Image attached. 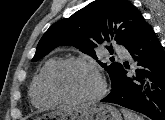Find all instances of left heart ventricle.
Segmentation results:
<instances>
[{"mask_svg":"<svg viewBox=\"0 0 165 120\" xmlns=\"http://www.w3.org/2000/svg\"><path fill=\"white\" fill-rule=\"evenodd\" d=\"M54 86L61 95L78 99L96 94L100 88V82L89 68L70 65L59 71L55 77Z\"/></svg>","mask_w":165,"mask_h":120,"instance_id":"left-heart-ventricle-1","label":"left heart ventricle"}]
</instances>
